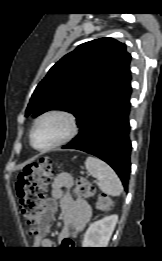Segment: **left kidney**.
<instances>
[{
  "label": "left kidney",
  "instance_id": "left-kidney-1",
  "mask_svg": "<svg viewBox=\"0 0 162 261\" xmlns=\"http://www.w3.org/2000/svg\"><path fill=\"white\" fill-rule=\"evenodd\" d=\"M117 222L118 216L114 214L90 224L84 234L82 246L85 248L107 247Z\"/></svg>",
  "mask_w": 162,
  "mask_h": 261
}]
</instances>
